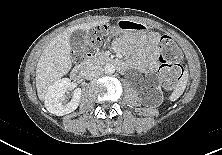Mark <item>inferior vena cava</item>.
Segmentation results:
<instances>
[{"label":"inferior vena cava","mask_w":222,"mask_h":155,"mask_svg":"<svg viewBox=\"0 0 222 155\" xmlns=\"http://www.w3.org/2000/svg\"><path fill=\"white\" fill-rule=\"evenodd\" d=\"M103 73V68L100 65H87L84 69V77L87 80H91Z\"/></svg>","instance_id":"1"}]
</instances>
